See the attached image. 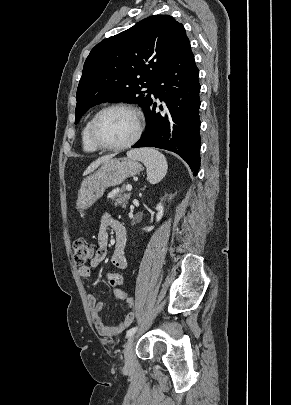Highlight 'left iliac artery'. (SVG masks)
Here are the masks:
<instances>
[{
	"mask_svg": "<svg viewBox=\"0 0 291 405\" xmlns=\"http://www.w3.org/2000/svg\"><path fill=\"white\" fill-rule=\"evenodd\" d=\"M136 331H137V327H132L131 329H129L127 331L126 336L130 337V336L134 335Z\"/></svg>",
	"mask_w": 291,
	"mask_h": 405,
	"instance_id": "left-iliac-artery-1",
	"label": "left iliac artery"
}]
</instances>
